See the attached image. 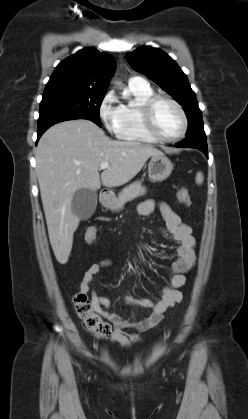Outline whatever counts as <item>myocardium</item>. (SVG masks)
<instances>
[{
	"instance_id": "1",
	"label": "myocardium",
	"mask_w": 248,
	"mask_h": 419,
	"mask_svg": "<svg viewBox=\"0 0 248 419\" xmlns=\"http://www.w3.org/2000/svg\"><path fill=\"white\" fill-rule=\"evenodd\" d=\"M159 101H167L170 104H172L177 109V111L179 112L181 116L182 128H181V131L174 137H170V138L163 137L159 135L155 129L154 122H153V109ZM140 118H141L142 127L145 133L156 142L172 143V142L179 141L185 136L188 129V119H187V115L183 107L175 99L166 95H159V94L152 95L145 102H143L140 108Z\"/></svg>"
}]
</instances>
